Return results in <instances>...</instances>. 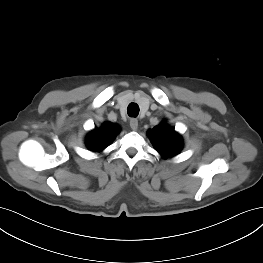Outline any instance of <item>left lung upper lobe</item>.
<instances>
[{"instance_id":"obj_1","label":"left lung upper lobe","mask_w":263,"mask_h":263,"mask_svg":"<svg viewBox=\"0 0 263 263\" xmlns=\"http://www.w3.org/2000/svg\"><path fill=\"white\" fill-rule=\"evenodd\" d=\"M148 136L155 149L165 158L177 155L183 147L181 136L165 123L150 129Z\"/></svg>"}]
</instances>
